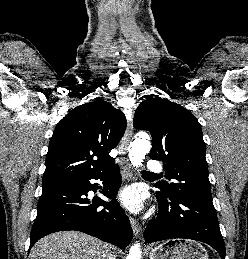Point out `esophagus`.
Wrapping results in <instances>:
<instances>
[{
    "label": "esophagus",
    "mask_w": 248,
    "mask_h": 259,
    "mask_svg": "<svg viewBox=\"0 0 248 259\" xmlns=\"http://www.w3.org/2000/svg\"><path fill=\"white\" fill-rule=\"evenodd\" d=\"M133 133V116L131 112H128L127 114V128L125 131V134L122 138L121 145H120V151H121V167L124 173V177L126 180L132 179V169L130 166V163L127 158V150L129 146V142L131 139ZM130 224L132 227V231L134 236L138 237L141 231V227L136 219L133 217H129Z\"/></svg>",
    "instance_id": "obj_1"
}]
</instances>
